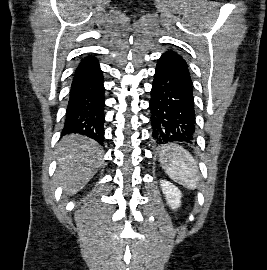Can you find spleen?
Here are the masks:
<instances>
[{
	"instance_id": "obj_1",
	"label": "spleen",
	"mask_w": 267,
	"mask_h": 270,
	"mask_svg": "<svg viewBox=\"0 0 267 270\" xmlns=\"http://www.w3.org/2000/svg\"><path fill=\"white\" fill-rule=\"evenodd\" d=\"M160 162L175 182L189 189H196L199 181L197 163L183 147L172 144L163 148Z\"/></svg>"
}]
</instances>
